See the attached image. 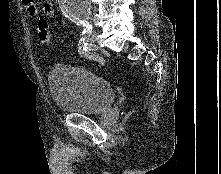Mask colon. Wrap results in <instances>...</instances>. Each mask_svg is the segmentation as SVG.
<instances>
[{"label": "colon", "mask_w": 221, "mask_h": 174, "mask_svg": "<svg viewBox=\"0 0 221 174\" xmlns=\"http://www.w3.org/2000/svg\"><path fill=\"white\" fill-rule=\"evenodd\" d=\"M38 38L42 43L48 44L51 42V32L48 22L41 18L38 22Z\"/></svg>", "instance_id": "5ec220e1"}]
</instances>
